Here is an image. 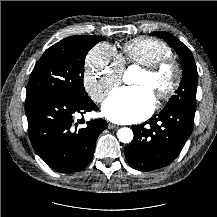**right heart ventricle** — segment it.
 I'll use <instances>...</instances> for the list:
<instances>
[{"label": "right heart ventricle", "mask_w": 217, "mask_h": 217, "mask_svg": "<svg viewBox=\"0 0 217 217\" xmlns=\"http://www.w3.org/2000/svg\"><path fill=\"white\" fill-rule=\"evenodd\" d=\"M172 56L171 48L163 41L151 37H138L126 42L119 55L126 64L149 66Z\"/></svg>", "instance_id": "1"}]
</instances>
